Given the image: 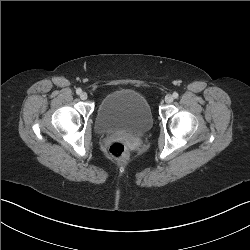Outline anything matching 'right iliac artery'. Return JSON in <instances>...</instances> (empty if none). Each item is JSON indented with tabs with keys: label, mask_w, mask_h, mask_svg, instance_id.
<instances>
[{
	"label": "right iliac artery",
	"mask_w": 250,
	"mask_h": 250,
	"mask_svg": "<svg viewBox=\"0 0 250 250\" xmlns=\"http://www.w3.org/2000/svg\"><path fill=\"white\" fill-rule=\"evenodd\" d=\"M82 90L80 88L76 89V93L79 95L81 94Z\"/></svg>",
	"instance_id": "1"
}]
</instances>
